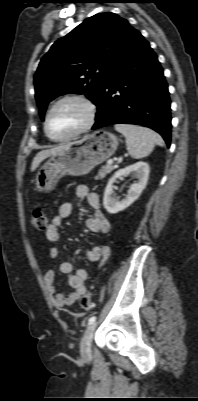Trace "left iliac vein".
Segmentation results:
<instances>
[{
	"label": "left iliac vein",
	"instance_id": "1",
	"mask_svg": "<svg viewBox=\"0 0 198 401\" xmlns=\"http://www.w3.org/2000/svg\"><path fill=\"white\" fill-rule=\"evenodd\" d=\"M97 327V323H92L90 324L84 335L83 338L81 340V344H80V352H81V356L82 358H88L91 355V341L95 332V329Z\"/></svg>",
	"mask_w": 198,
	"mask_h": 401
}]
</instances>
